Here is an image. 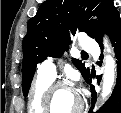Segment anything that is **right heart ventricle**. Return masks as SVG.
<instances>
[{
  "mask_svg": "<svg viewBox=\"0 0 121 113\" xmlns=\"http://www.w3.org/2000/svg\"><path fill=\"white\" fill-rule=\"evenodd\" d=\"M52 82V78H48L38 73L30 97V109H45V91Z\"/></svg>",
  "mask_w": 121,
  "mask_h": 113,
  "instance_id": "e07e8e85",
  "label": "right heart ventricle"
}]
</instances>
